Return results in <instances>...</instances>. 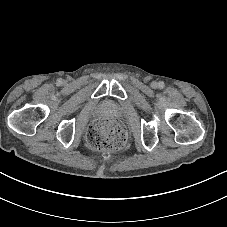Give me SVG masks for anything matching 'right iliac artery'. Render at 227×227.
Listing matches in <instances>:
<instances>
[{
    "mask_svg": "<svg viewBox=\"0 0 227 227\" xmlns=\"http://www.w3.org/2000/svg\"><path fill=\"white\" fill-rule=\"evenodd\" d=\"M61 83H62V79L61 78L57 79V84L60 85Z\"/></svg>",
    "mask_w": 227,
    "mask_h": 227,
    "instance_id": "1",
    "label": "right iliac artery"
}]
</instances>
